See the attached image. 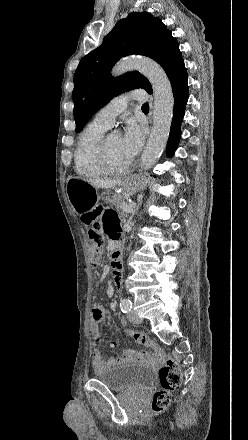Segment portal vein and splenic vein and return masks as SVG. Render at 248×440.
I'll return each mask as SVG.
<instances>
[{"mask_svg": "<svg viewBox=\"0 0 248 440\" xmlns=\"http://www.w3.org/2000/svg\"><path fill=\"white\" fill-rule=\"evenodd\" d=\"M134 206H135L134 203H132V204H127V203L123 202V203L121 204L122 209H123L125 212H127V213L132 212Z\"/></svg>", "mask_w": 248, "mask_h": 440, "instance_id": "18ae733b", "label": "portal vein and splenic vein"}]
</instances>
